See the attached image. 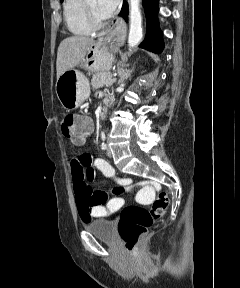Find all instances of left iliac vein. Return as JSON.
Here are the masks:
<instances>
[{"mask_svg": "<svg viewBox=\"0 0 240 288\" xmlns=\"http://www.w3.org/2000/svg\"><path fill=\"white\" fill-rule=\"evenodd\" d=\"M106 153H107V156H108V157H110V158L112 157V151H111L110 148H107Z\"/></svg>", "mask_w": 240, "mask_h": 288, "instance_id": "left-iliac-vein-1", "label": "left iliac vein"}]
</instances>
